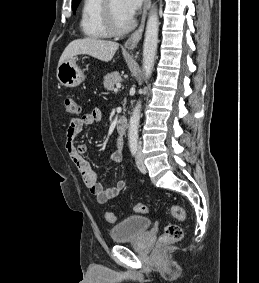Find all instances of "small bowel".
Listing matches in <instances>:
<instances>
[{
	"instance_id": "1",
	"label": "small bowel",
	"mask_w": 259,
	"mask_h": 283,
	"mask_svg": "<svg viewBox=\"0 0 259 283\" xmlns=\"http://www.w3.org/2000/svg\"><path fill=\"white\" fill-rule=\"evenodd\" d=\"M102 112L95 108L81 118H72L69 122L66 133L65 150L71 162L77 167L86 188L96 197V200L103 204L119 196L128 186L127 182L120 180L115 186L108 187L98 181L97 175L89 162L84 158L87 152L85 144H75V139L82 132L84 127L93 126L101 121ZM125 154L124 143L117 139L115 149L110 155L114 162H120Z\"/></svg>"
}]
</instances>
